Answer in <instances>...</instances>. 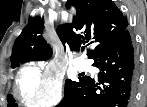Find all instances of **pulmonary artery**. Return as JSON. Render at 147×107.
Masks as SVG:
<instances>
[{
	"label": "pulmonary artery",
	"mask_w": 147,
	"mask_h": 107,
	"mask_svg": "<svg viewBox=\"0 0 147 107\" xmlns=\"http://www.w3.org/2000/svg\"><path fill=\"white\" fill-rule=\"evenodd\" d=\"M74 66L79 70H84V69L88 68V63L85 59H77L74 62Z\"/></svg>",
	"instance_id": "1"
}]
</instances>
